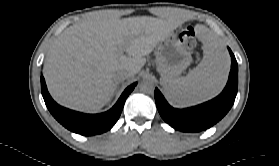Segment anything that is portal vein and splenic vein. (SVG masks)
<instances>
[{"instance_id": "obj_1", "label": "portal vein and splenic vein", "mask_w": 279, "mask_h": 166, "mask_svg": "<svg viewBox=\"0 0 279 166\" xmlns=\"http://www.w3.org/2000/svg\"><path fill=\"white\" fill-rule=\"evenodd\" d=\"M125 50V46H120L118 49L119 54H122Z\"/></svg>"}]
</instances>
